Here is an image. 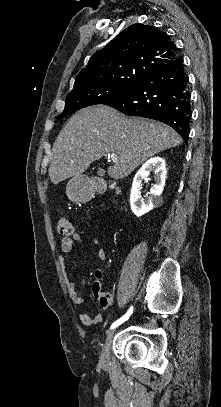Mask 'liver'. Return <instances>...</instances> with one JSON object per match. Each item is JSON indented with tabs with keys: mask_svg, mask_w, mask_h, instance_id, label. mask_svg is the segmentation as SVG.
I'll return each instance as SVG.
<instances>
[{
	"mask_svg": "<svg viewBox=\"0 0 221 407\" xmlns=\"http://www.w3.org/2000/svg\"><path fill=\"white\" fill-rule=\"evenodd\" d=\"M182 143L168 125L96 105L76 112L56 138L48 169L50 180L58 184L81 176L89 165L109 154L117 161L108 168L113 179H123L157 153Z\"/></svg>",
	"mask_w": 221,
	"mask_h": 407,
	"instance_id": "6515ba94",
	"label": "liver"
}]
</instances>
